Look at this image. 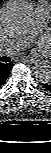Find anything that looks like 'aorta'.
<instances>
[{"instance_id":"obj_1","label":"aorta","mask_w":51,"mask_h":153,"mask_svg":"<svg viewBox=\"0 0 51 153\" xmlns=\"http://www.w3.org/2000/svg\"><path fill=\"white\" fill-rule=\"evenodd\" d=\"M31 6L22 1L12 2L1 11L3 29L10 35H19L27 32L32 25ZM34 76L41 83L51 82V65L49 61H41L34 67Z\"/></svg>"}]
</instances>
